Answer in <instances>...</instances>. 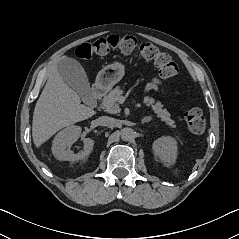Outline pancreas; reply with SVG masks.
<instances>
[{"label": "pancreas", "instance_id": "cf45deb5", "mask_svg": "<svg viewBox=\"0 0 239 239\" xmlns=\"http://www.w3.org/2000/svg\"><path fill=\"white\" fill-rule=\"evenodd\" d=\"M123 94V90L118 86L115 87L108 95H106L102 100V108L111 114H116L120 112V106L118 103L119 97ZM143 103L151 107L154 113L161 119V121L165 122L170 128H176L175 121L171 119L170 113L163 109V105L159 101H155L154 98L146 96L143 99Z\"/></svg>", "mask_w": 239, "mask_h": 239}]
</instances>
